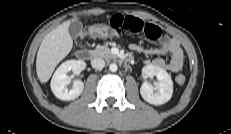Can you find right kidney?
Masks as SVG:
<instances>
[{
  "mask_svg": "<svg viewBox=\"0 0 231 134\" xmlns=\"http://www.w3.org/2000/svg\"><path fill=\"white\" fill-rule=\"evenodd\" d=\"M86 67V63L82 60H67L63 62L55 71L51 79V90L53 94L60 100L70 101L80 96L83 91L84 83L80 80L73 82V87L69 90L67 86L71 82V78L67 75L69 71L79 74Z\"/></svg>",
  "mask_w": 231,
  "mask_h": 134,
  "instance_id": "obj_1",
  "label": "right kidney"
}]
</instances>
